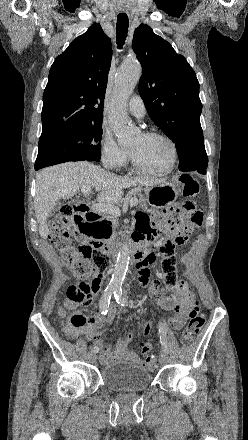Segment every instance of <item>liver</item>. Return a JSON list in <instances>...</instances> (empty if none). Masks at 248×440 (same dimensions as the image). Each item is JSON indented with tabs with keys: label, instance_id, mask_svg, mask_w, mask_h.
Instances as JSON below:
<instances>
[{
	"label": "liver",
	"instance_id": "obj_1",
	"mask_svg": "<svg viewBox=\"0 0 248 440\" xmlns=\"http://www.w3.org/2000/svg\"><path fill=\"white\" fill-rule=\"evenodd\" d=\"M164 180L120 177L86 161L67 162L40 170L36 176L35 214L39 234L46 239L50 231L47 218L59 199H69L84 187L98 192V201L117 204L123 189L133 186H151Z\"/></svg>",
	"mask_w": 248,
	"mask_h": 440
}]
</instances>
